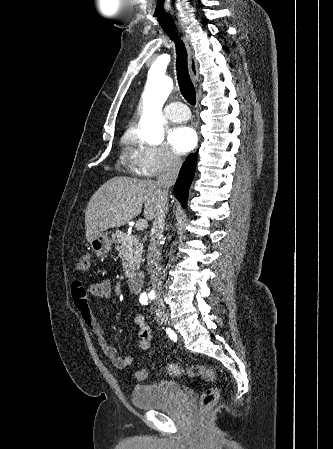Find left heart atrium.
I'll return each mask as SVG.
<instances>
[{"label": "left heart atrium", "instance_id": "39dd6f15", "mask_svg": "<svg viewBox=\"0 0 333 449\" xmlns=\"http://www.w3.org/2000/svg\"><path fill=\"white\" fill-rule=\"evenodd\" d=\"M168 139L175 152L184 154L196 145L197 135L190 126H178L170 132Z\"/></svg>", "mask_w": 333, "mask_h": 449}]
</instances>
